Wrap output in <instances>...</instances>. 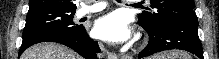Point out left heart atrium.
Instances as JSON below:
<instances>
[{
    "instance_id": "left-heart-atrium-1",
    "label": "left heart atrium",
    "mask_w": 219,
    "mask_h": 59,
    "mask_svg": "<svg viewBox=\"0 0 219 59\" xmlns=\"http://www.w3.org/2000/svg\"><path fill=\"white\" fill-rule=\"evenodd\" d=\"M93 33L102 40L122 41L129 36V29L120 14L110 13L96 21Z\"/></svg>"
}]
</instances>
